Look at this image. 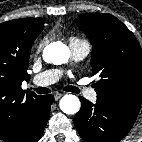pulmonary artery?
Segmentation results:
<instances>
[{
  "instance_id": "1",
  "label": "pulmonary artery",
  "mask_w": 142,
  "mask_h": 142,
  "mask_svg": "<svg viewBox=\"0 0 142 142\" xmlns=\"http://www.w3.org/2000/svg\"><path fill=\"white\" fill-rule=\"evenodd\" d=\"M71 57L74 61L83 60L90 52V45L87 42H70ZM62 72L58 69L43 71L33 78L37 86H48L55 83L61 77ZM83 95L91 101H95L97 94L93 89L83 87L80 89Z\"/></svg>"
}]
</instances>
